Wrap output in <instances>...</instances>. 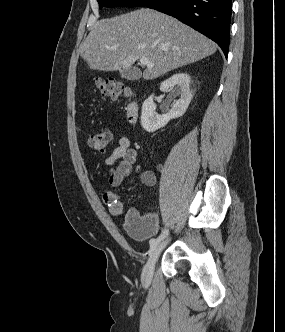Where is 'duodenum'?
Instances as JSON below:
<instances>
[{"label": "duodenum", "mask_w": 285, "mask_h": 332, "mask_svg": "<svg viewBox=\"0 0 285 332\" xmlns=\"http://www.w3.org/2000/svg\"><path fill=\"white\" fill-rule=\"evenodd\" d=\"M139 106L135 100H132L128 103L126 107V117L129 122L133 123L137 120L138 117Z\"/></svg>", "instance_id": "410a0bca"}]
</instances>
